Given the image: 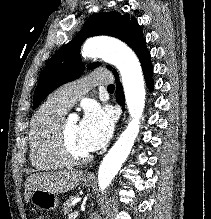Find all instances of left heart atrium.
Here are the masks:
<instances>
[{
  "mask_svg": "<svg viewBox=\"0 0 211 219\" xmlns=\"http://www.w3.org/2000/svg\"><path fill=\"white\" fill-rule=\"evenodd\" d=\"M79 130L82 143L89 152H93L109 141L113 132V120L108 111L98 105H90L85 110Z\"/></svg>",
  "mask_w": 211,
  "mask_h": 219,
  "instance_id": "39dd6f15",
  "label": "left heart atrium"
}]
</instances>
